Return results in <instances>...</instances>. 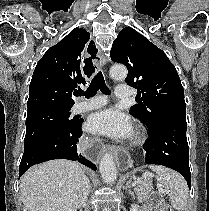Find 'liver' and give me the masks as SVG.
Returning <instances> with one entry per match:
<instances>
[{
    "label": "liver",
    "instance_id": "obj_1",
    "mask_svg": "<svg viewBox=\"0 0 209 211\" xmlns=\"http://www.w3.org/2000/svg\"><path fill=\"white\" fill-rule=\"evenodd\" d=\"M84 169L70 160H50L31 167L20 180L27 211H77L82 204Z\"/></svg>",
    "mask_w": 209,
    "mask_h": 211
}]
</instances>
